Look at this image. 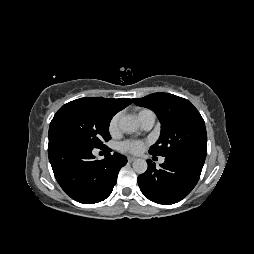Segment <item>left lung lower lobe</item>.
I'll use <instances>...</instances> for the list:
<instances>
[{"label": "left lung lower lobe", "instance_id": "obj_1", "mask_svg": "<svg viewBox=\"0 0 254 254\" xmlns=\"http://www.w3.org/2000/svg\"><path fill=\"white\" fill-rule=\"evenodd\" d=\"M204 162L205 158L195 154L167 156L160 164L161 168H156L151 160H147V171L138 176L140 190L153 202L164 205L177 203L197 184Z\"/></svg>", "mask_w": 254, "mask_h": 254}]
</instances>
